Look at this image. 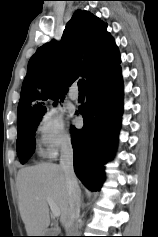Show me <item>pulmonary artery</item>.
Wrapping results in <instances>:
<instances>
[{
    "label": "pulmonary artery",
    "instance_id": "e3ab8cb5",
    "mask_svg": "<svg viewBox=\"0 0 158 237\" xmlns=\"http://www.w3.org/2000/svg\"><path fill=\"white\" fill-rule=\"evenodd\" d=\"M68 95H69V98L71 100H74V101L78 100V98H79V93L77 91H74V90H70Z\"/></svg>",
    "mask_w": 158,
    "mask_h": 237
}]
</instances>
